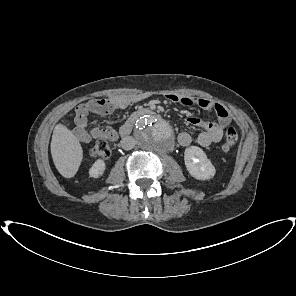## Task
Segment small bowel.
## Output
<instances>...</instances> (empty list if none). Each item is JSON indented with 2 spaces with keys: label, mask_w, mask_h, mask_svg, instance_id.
<instances>
[{
  "label": "small bowel",
  "mask_w": 296,
  "mask_h": 296,
  "mask_svg": "<svg viewBox=\"0 0 296 296\" xmlns=\"http://www.w3.org/2000/svg\"><path fill=\"white\" fill-rule=\"evenodd\" d=\"M166 98L170 102L185 106H196L205 111H213L216 114V121H203L197 117H189L186 120L188 125L199 126L203 129L197 137V143L201 147H208L213 143L219 142L222 138L223 130L231 122V116L228 110L223 105L211 100L175 94H169ZM135 101H137L135 98L117 95L93 99L85 104L79 105L76 109L75 127L73 129L75 137L85 143L97 138H103L109 141L117 140L119 133L113 128L95 127L87 130V116L89 113L101 116L108 115L117 109L126 108ZM177 139L181 146H189L192 142V137L188 132L179 133Z\"/></svg>",
  "instance_id": "small-bowel-1"
}]
</instances>
